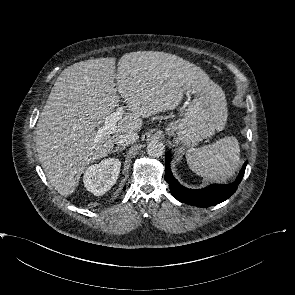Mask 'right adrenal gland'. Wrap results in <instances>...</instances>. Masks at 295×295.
<instances>
[{
  "mask_svg": "<svg viewBox=\"0 0 295 295\" xmlns=\"http://www.w3.org/2000/svg\"><path fill=\"white\" fill-rule=\"evenodd\" d=\"M125 149V146H117L115 149L111 150V153L123 151Z\"/></svg>",
  "mask_w": 295,
  "mask_h": 295,
  "instance_id": "obj_1",
  "label": "right adrenal gland"
}]
</instances>
